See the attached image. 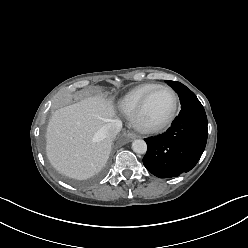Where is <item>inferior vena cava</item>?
Listing matches in <instances>:
<instances>
[{"instance_id": "602c4592", "label": "inferior vena cava", "mask_w": 248, "mask_h": 248, "mask_svg": "<svg viewBox=\"0 0 248 248\" xmlns=\"http://www.w3.org/2000/svg\"><path fill=\"white\" fill-rule=\"evenodd\" d=\"M121 129L122 122L118 119H114L104 126L103 131L107 138L113 139L121 131Z\"/></svg>"}]
</instances>
